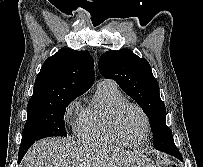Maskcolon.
Here are the masks:
<instances>
[{
	"mask_svg": "<svg viewBox=\"0 0 203 167\" xmlns=\"http://www.w3.org/2000/svg\"><path fill=\"white\" fill-rule=\"evenodd\" d=\"M156 167H176V165L169 159L167 158H161Z\"/></svg>",
	"mask_w": 203,
	"mask_h": 167,
	"instance_id": "obj_1",
	"label": "colon"
}]
</instances>
